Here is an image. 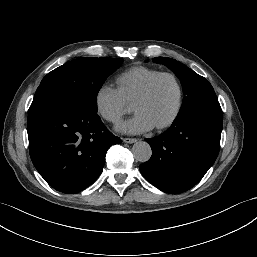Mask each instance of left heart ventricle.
I'll list each match as a JSON object with an SVG mask.
<instances>
[{"label": "left heart ventricle", "mask_w": 257, "mask_h": 257, "mask_svg": "<svg viewBox=\"0 0 257 257\" xmlns=\"http://www.w3.org/2000/svg\"><path fill=\"white\" fill-rule=\"evenodd\" d=\"M177 103V88L170 78L161 79L150 96L137 103L133 109L145 115L154 126L166 121L173 113Z\"/></svg>", "instance_id": "b2bd125f"}]
</instances>
